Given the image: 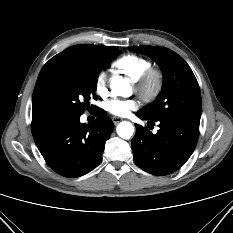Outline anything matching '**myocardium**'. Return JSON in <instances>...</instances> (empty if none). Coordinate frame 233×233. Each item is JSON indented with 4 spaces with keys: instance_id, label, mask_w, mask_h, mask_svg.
<instances>
[{
    "instance_id": "1",
    "label": "myocardium",
    "mask_w": 233,
    "mask_h": 233,
    "mask_svg": "<svg viewBox=\"0 0 233 233\" xmlns=\"http://www.w3.org/2000/svg\"><path fill=\"white\" fill-rule=\"evenodd\" d=\"M132 82L141 100L148 103L153 101L162 90L164 75L161 69L150 67Z\"/></svg>"
}]
</instances>
